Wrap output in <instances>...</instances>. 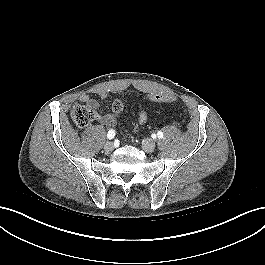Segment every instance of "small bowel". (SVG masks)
<instances>
[{"instance_id": "1", "label": "small bowel", "mask_w": 265, "mask_h": 265, "mask_svg": "<svg viewBox=\"0 0 265 265\" xmlns=\"http://www.w3.org/2000/svg\"><path fill=\"white\" fill-rule=\"evenodd\" d=\"M152 95V94H150ZM150 95H148V99H150ZM158 96H164V94H157ZM79 100L81 102H85L88 104L93 105L94 107L98 106V103L96 100L90 98L88 95H80ZM151 101H155V102H161L160 100H151ZM148 119V114L145 110H140L139 114H138V123L139 124H145L147 122ZM98 120L100 122V124L104 125V126H113L116 123V118L112 115V114H105V115H101L98 117Z\"/></svg>"}]
</instances>
